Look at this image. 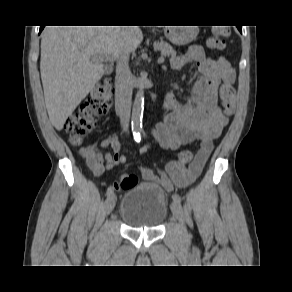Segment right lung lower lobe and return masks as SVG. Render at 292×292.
Segmentation results:
<instances>
[{
	"mask_svg": "<svg viewBox=\"0 0 292 292\" xmlns=\"http://www.w3.org/2000/svg\"><path fill=\"white\" fill-rule=\"evenodd\" d=\"M44 27H45V26H40V31H39V33L43 30Z\"/></svg>",
	"mask_w": 292,
	"mask_h": 292,
	"instance_id": "1",
	"label": "right lung lower lobe"
}]
</instances>
